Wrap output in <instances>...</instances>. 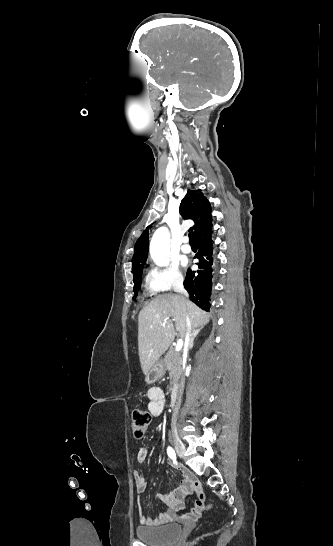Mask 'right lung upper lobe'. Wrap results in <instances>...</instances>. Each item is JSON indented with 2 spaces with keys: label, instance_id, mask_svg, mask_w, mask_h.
<instances>
[{
  "label": "right lung upper lobe",
  "instance_id": "cb5924a9",
  "mask_svg": "<svg viewBox=\"0 0 333 546\" xmlns=\"http://www.w3.org/2000/svg\"><path fill=\"white\" fill-rule=\"evenodd\" d=\"M180 214L184 219H191L195 225V238L212 226L211 206L201 190H188L180 204ZM149 228V227H148ZM148 228L142 233L135 244V253L132 259L134 277L139 274L146 263L149 236Z\"/></svg>",
  "mask_w": 333,
  "mask_h": 546
}]
</instances>
